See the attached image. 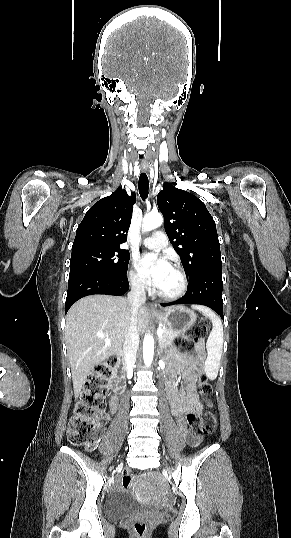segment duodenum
Segmentation results:
<instances>
[{
  "label": "duodenum",
  "instance_id": "410a0bca",
  "mask_svg": "<svg viewBox=\"0 0 291 538\" xmlns=\"http://www.w3.org/2000/svg\"><path fill=\"white\" fill-rule=\"evenodd\" d=\"M117 364H113V369H115V372L117 374H120L122 372V369H124V364L126 361V356L118 355L116 357ZM109 386L113 389L114 392H123L125 389V384L118 375H113L109 379Z\"/></svg>",
  "mask_w": 291,
  "mask_h": 538
}]
</instances>
